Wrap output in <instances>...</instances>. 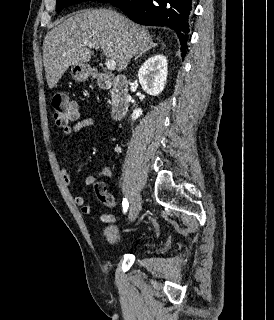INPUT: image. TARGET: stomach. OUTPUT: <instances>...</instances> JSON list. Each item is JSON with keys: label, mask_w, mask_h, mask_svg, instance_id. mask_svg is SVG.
I'll use <instances>...</instances> for the list:
<instances>
[{"label": "stomach", "mask_w": 274, "mask_h": 320, "mask_svg": "<svg viewBox=\"0 0 274 320\" xmlns=\"http://www.w3.org/2000/svg\"><path fill=\"white\" fill-rule=\"evenodd\" d=\"M92 74V68L86 66V64H75V68H72V78L78 80V82H84Z\"/></svg>", "instance_id": "1"}]
</instances>
